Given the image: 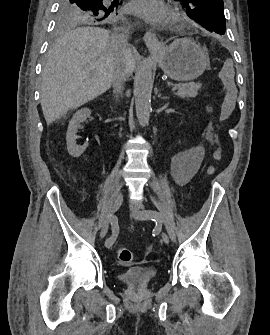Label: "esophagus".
I'll return each instance as SVG.
<instances>
[{
	"instance_id": "1",
	"label": "esophagus",
	"mask_w": 270,
	"mask_h": 335,
	"mask_svg": "<svg viewBox=\"0 0 270 335\" xmlns=\"http://www.w3.org/2000/svg\"><path fill=\"white\" fill-rule=\"evenodd\" d=\"M143 40L149 49H158L161 46L157 35L153 31H147L144 34Z\"/></svg>"
}]
</instances>
